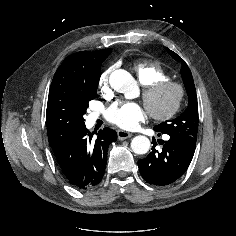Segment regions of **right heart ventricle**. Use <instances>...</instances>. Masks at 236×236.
<instances>
[{
  "instance_id": "obj_1",
  "label": "right heart ventricle",
  "mask_w": 236,
  "mask_h": 236,
  "mask_svg": "<svg viewBox=\"0 0 236 236\" xmlns=\"http://www.w3.org/2000/svg\"><path fill=\"white\" fill-rule=\"evenodd\" d=\"M135 72L139 82L147 87L155 82L168 80L169 74L161 65L155 60L141 61L135 65Z\"/></svg>"
}]
</instances>
